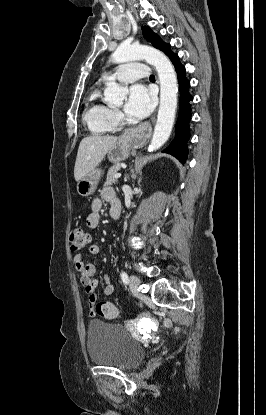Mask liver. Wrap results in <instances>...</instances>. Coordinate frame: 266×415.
Instances as JSON below:
<instances>
[{
  "instance_id": "liver-1",
  "label": "liver",
  "mask_w": 266,
  "mask_h": 415,
  "mask_svg": "<svg viewBox=\"0 0 266 415\" xmlns=\"http://www.w3.org/2000/svg\"><path fill=\"white\" fill-rule=\"evenodd\" d=\"M117 141L118 137L116 136L92 135L83 138L78 148L74 167L75 180L78 182L95 169Z\"/></svg>"
}]
</instances>
